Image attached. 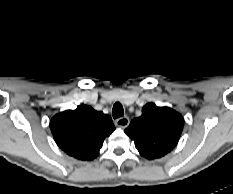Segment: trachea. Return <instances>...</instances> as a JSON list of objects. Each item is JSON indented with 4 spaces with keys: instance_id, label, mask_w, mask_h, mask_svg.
<instances>
[{
    "instance_id": "3493384b",
    "label": "trachea",
    "mask_w": 233,
    "mask_h": 194,
    "mask_svg": "<svg viewBox=\"0 0 233 194\" xmlns=\"http://www.w3.org/2000/svg\"><path fill=\"white\" fill-rule=\"evenodd\" d=\"M112 115L114 119L122 117L124 115V110H123V106L121 103L116 102L114 104L113 109H112Z\"/></svg>"
}]
</instances>
